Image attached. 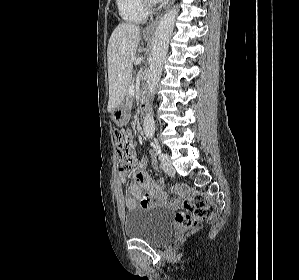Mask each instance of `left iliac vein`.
Here are the masks:
<instances>
[{
    "instance_id": "1",
    "label": "left iliac vein",
    "mask_w": 299,
    "mask_h": 280,
    "mask_svg": "<svg viewBox=\"0 0 299 280\" xmlns=\"http://www.w3.org/2000/svg\"><path fill=\"white\" fill-rule=\"evenodd\" d=\"M161 167L164 170V172L167 173L168 175L175 174V169L172 166V163H171L168 155H167V158L162 161Z\"/></svg>"
}]
</instances>
